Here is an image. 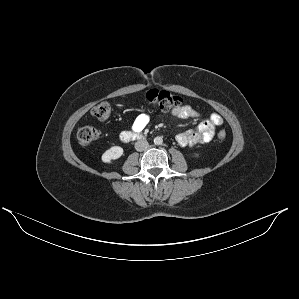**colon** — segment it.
I'll list each match as a JSON object with an SVG mask.
<instances>
[{"mask_svg": "<svg viewBox=\"0 0 299 299\" xmlns=\"http://www.w3.org/2000/svg\"><path fill=\"white\" fill-rule=\"evenodd\" d=\"M143 101L154 109L169 111L179 107L182 104V98L177 94L166 90L150 89L143 95ZM112 111L111 103L107 100L100 101L92 109V115L100 120H107ZM99 137V131L96 127L90 125L80 126L76 132V139L79 144L88 146L94 143ZM226 138L225 131L218 133V139Z\"/></svg>", "mask_w": 299, "mask_h": 299, "instance_id": "obj_1", "label": "colon"}]
</instances>
